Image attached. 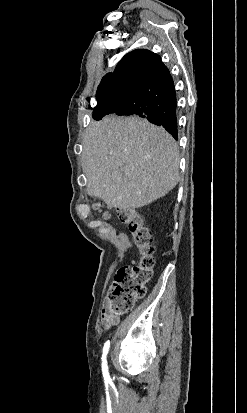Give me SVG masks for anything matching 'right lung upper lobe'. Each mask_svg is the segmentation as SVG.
<instances>
[{
	"mask_svg": "<svg viewBox=\"0 0 247 413\" xmlns=\"http://www.w3.org/2000/svg\"><path fill=\"white\" fill-rule=\"evenodd\" d=\"M165 66L161 58L149 50H134L123 57L113 73L106 74L101 82H127V79L136 72H153Z\"/></svg>",
	"mask_w": 247,
	"mask_h": 413,
	"instance_id": "obj_1",
	"label": "right lung upper lobe"
}]
</instances>
